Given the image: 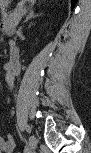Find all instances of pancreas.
Wrapping results in <instances>:
<instances>
[{"mask_svg":"<svg viewBox=\"0 0 91 153\" xmlns=\"http://www.w3.org/2000/svg\"><path fill=\"white\" fill-rule=\"evenodd\" d=\"M24 14L23 9H17L13 13L10 14H3V25L6 29L15 30V24H18L22 15Z\"/></svg>","mask_w":91,"mask_h":153,"instance_id":"obj_1","label":"pancreas"}]
</instances>
